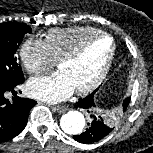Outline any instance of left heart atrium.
<instances>
[{
	"mask_svg": "<svg viewBox=\"0 0 153 153\" xmlns=\"http://www.w3.org/2000/svg\"><path fill=\"white\" fill-rule=\"evenodd\" d=\"M30 96L50 103L67 99L75 90L63 71L31 79L27 86Z\"/></svg>",
	"mask_w": 153,
	"mask_h": 153,
	"instance_id": "left-heart-atrium-1",
	"label": "left heart atrium"
}]
</instances>
